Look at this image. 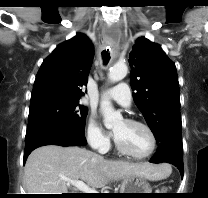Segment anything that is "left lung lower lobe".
<instances>
[{"label":"left lung lower lobe","mask_w":208,"mask_h":198,"mask_svg":"<svg viewBox=\"0 0 208 198\" xmlns=\"http://www.w3.org/2000/svg\"><path fill=\"white\" fill-rule=\"evenodd\" d=\"M152 163L167 162L175 165L183 178V159L182 149L177 148L173 144L165 143L159 145L156 155L151 159Z\"/></svg>","instance_id":"obj_1"}]
</instances>
